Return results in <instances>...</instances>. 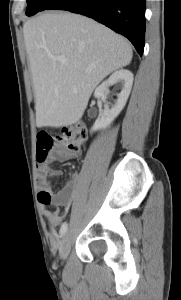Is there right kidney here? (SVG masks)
Masks as SVG:
<instances>
[{
  "label": "right kidney",
  "mask_w": 181,
  "mask_h": 300,
  "mask_svg": "<svg viewBox=\"0 0 181 300\" xmlns=\"http://www.w3.org/2000/svg\"><path fill=\"white\" fill-rule=\"evenodd\" d=\"M114 83H118L122 89L121 92L117 95V101L111 108H109L107 104L104 106V110L100 114L99 118L95 121L91 132L107 128L123 110L131 92L133 84V74L126 69L115 71L95 90L94 96L96 98H106L109 86L113 85Z\"/></svg>",
  "instance_id": "1"
}]
</instances>
